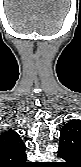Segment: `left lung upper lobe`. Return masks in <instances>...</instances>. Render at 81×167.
I'll use <instances>...</instances> for the list:
<instances>
[{
    "instance_id": "1",
    "label": "left lung upper lobe",
    "mask_w": 81,
    "mask_h": 167,
    "mask_svg": "<svg viewBox=\"0 0 81 167\" xmlns=\"http://www.w3.org/2000/svg\"><path fill=\"white\" fill-rule=\"evenodd\" d=\"M60 154L71 167L81 164V120H73L65 124L60 131Z\"/></svg>"
}]
</instances>
